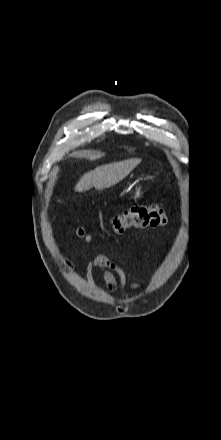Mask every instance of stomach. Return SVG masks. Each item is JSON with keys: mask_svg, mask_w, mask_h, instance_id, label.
Here are the masks:
<instances>
[{"mask_svg": "<svg viewBox=\"0 0 221 440\" xmlns=\"http://www.w3.org/2000/svg\"><path fill=\"white\" fill-rule=\"evenodd\" d=\"M142 195H143V192L141 191V187H138L134 191L133 198L136 200V199L140 198Z\"/></svg>", "mask_w": 221, "mask_h": 440, "instance_id": "1", "label": "stomach"}]
</instances>
